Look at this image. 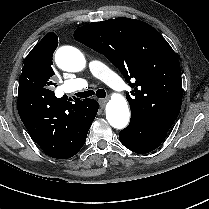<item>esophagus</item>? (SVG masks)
<instances>
[{
	"label": "esophagus",
	"instance_id": "1",
	"mask_svg": "<svg viewBox=\"0 0 209 209\" xmlns=\"http://www.w3.org/2000/svg\"><path fill=\"white\" fill-rule=\"evenodd\" d=\"M107 101H108V100H107L106 98H105V99H100V100H99L100 106H101V107H104L105 104L107 103Z\"/></svg>",
	"mask_w": 209,
	"mask_h": 209
}]
</instances>
